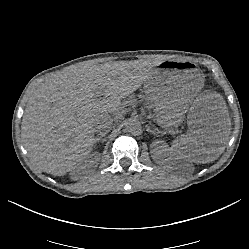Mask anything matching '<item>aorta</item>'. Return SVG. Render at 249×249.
<instances>
[{"label": "aorta", "mask_w": 249, "mask_h": 249, "mask_svg": "<svg viewBox=\"0 0 249 249\" xmlns=\"http://www.w3.org/2000/svg\"><path fill=\"white\" fill-rule=\"evenodd\" d=\"M125 128L130 133H136L140 130L141 124L136 118H128L125 121Z\"/></svg>", "instance_id": "aorta-1"}]
</instances>
